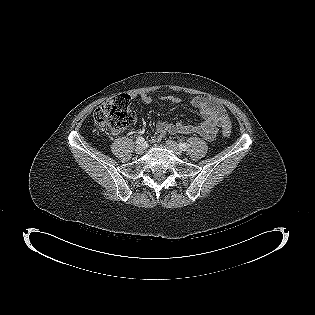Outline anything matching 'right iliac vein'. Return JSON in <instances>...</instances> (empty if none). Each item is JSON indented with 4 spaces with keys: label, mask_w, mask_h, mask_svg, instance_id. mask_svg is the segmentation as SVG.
I'll return each instance as SVG.
<instances>
[{
    "label": "right iliac vein",
    "mask_w": 315,
    "mask_h": 315,
    "mask_svg": "<svg viewBox=\"0 0 315 315\" xmlns=\"http://www.w3.org/2000/svg\"><path fill=\"white\" fill-rule=\"evenodd\" d=\"M144 150L145 149H144L143 145H137L136 148H135V151H136L137 154L144 153Z\"/></svg>",
    "instance_id": "right-iliac-vein-1"
}]
</instances>
